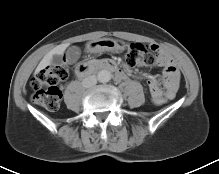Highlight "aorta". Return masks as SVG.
I'll list each match as a JSON object with an SVG mask.
<instances>
[{
    "instance_id": "762f6f07",
    "label": "aorta",
    "mask_w": 219,
    "mask_h": 174,
    "mask_svg": "<svg viewBox=\"0 0 219 174\" xmlns=\"http://www.w3.org/2000/svg\"><path fill=\"white\" fill-rule=\"evenodd\" d=\"M112 74L108 70H101L98 72L97 79L99 82L106 83L111 80Z\"/></svg>"
}]
</instances>
